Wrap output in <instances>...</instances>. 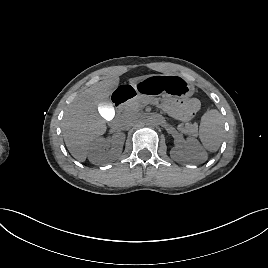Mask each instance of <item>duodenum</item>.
<instances>
[{
    "label": "duodenum",
    "instance_id": "obj_1",
    "mask_svg": "<svg viewBox=\"0 0 268 268\" xmlns=\"http://www.w3.org/2000/svg\"><path fill=\"white\" fill-rule=\"evenodd\" d=\"M134 96V90L131 88H122L117 90L113 95V103L120 108L128 99Z\"/></svg>",
    "mask_w": 268,
    "mask_h": 268
}]
</instances>
